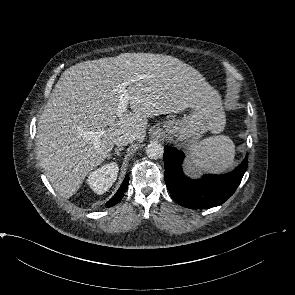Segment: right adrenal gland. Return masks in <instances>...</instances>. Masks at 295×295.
I'll return each instance as SVG.
<instances>
[{
  "label": "right adrenal gland",
  "mask_w": 295,
  "mask_h": 295,
  "mask_svg": "<svg viewBox=\"0 0 295 295\" xmlns=\"http://www.w3.org/2000/svg\"><path fill=\"white\" fill-rule=\"evenodd\" d=\"M114 150L115 151H114L113 155L120 156V154H121L120 151L123 150V147H116ZM108 158H111V154H109Z\"/></svg>",
  "instance_id": "obj_1"
}]
</instances>
